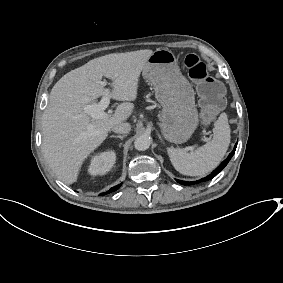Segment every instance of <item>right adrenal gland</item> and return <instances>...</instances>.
<instances>
[{
	"label": "right adrenal gland",
	"instance_id": "obj_1",
	"mask_svg": "<svg viewBox=\"0 0 283 283\" xmlns=\"http://www.w3.org/2000/svg\"><path fill=\"white\" fill-rule=\"evenodd\" d=\"M127 134H123V135H111L110 137H115V138H120L121 140H123L124 137H126Z\"/></svg>",
	"mask_w": 283,
	"mask_h": 283
}]
</instances>
